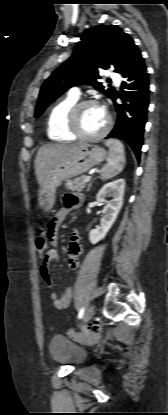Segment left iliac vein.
I'll return each instance as SVG.
<instances>
[{
	"instance_id": "obj_1",
	"label": "left iliac vein",
	"mask_w": 168,
	"mask_h": 415,
	"mask_svg": "<svg viewBox=\"0 0 168 415\" xmlns=\"http://www.w3.org/2000/svg\"><path fill=\"white\" fill-rule=\"evenodd\" d=\"M94 312H95V307L93 305H90L87 308L86 312L84 313V316H83V324H86V323H88L91 320V318L94 315Z\"/></svg>"
}]
</instances>
